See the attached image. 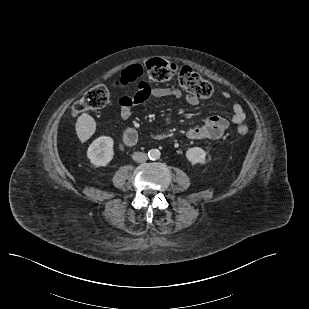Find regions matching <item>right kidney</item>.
<instances>
[{
	"instance_id": "1",
	"label": "right kidney",
	"mask_w": 309,
	"mask_h": 309,
	"mask_svg": "<svg viewBox=\"0 0 309 309\" xmlns=\"http://www.w3.org/2000/svg\"><path fill=\"white\" fill-rule=\"evenodd\" d=\"M113 145L114 141L109 136H101L94 140L87 150V157L91 164L94 167L108 165L114 156Z\"/></svg>"
}]
</instances>
